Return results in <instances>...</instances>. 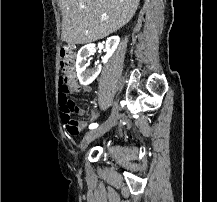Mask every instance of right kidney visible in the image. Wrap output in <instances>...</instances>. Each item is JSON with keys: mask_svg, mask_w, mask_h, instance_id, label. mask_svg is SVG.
I'll return each instance as SVG.
<instances>
[{"mask_svg": "<svg viewBox=\"0 0 217 202\" xmlns=\"http://www.w3.org/2000/svg\"><path fill=\"white\" fill-rule=\"evenodd\" d=\"M120 42L119 36H111V38H108L106 40L105 44V50H106V56L103 58V64H106L108 62L109 58H111L112 54H114L118 44ZM95 52V44H87V46H83V48H80L78 54H77V60H76V72H77V78L82 84V86H89L95 78H97L101 66H98L96 70H88L87 66L90 62V56L94 54Z\"/></svg>", "mask_w": 217, "mask_h": 202, "instance_id": "obj_1", "label": "right kidney"}]
</instances>
